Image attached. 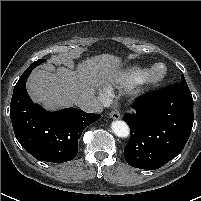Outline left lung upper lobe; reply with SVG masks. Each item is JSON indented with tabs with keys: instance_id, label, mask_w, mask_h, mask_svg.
Returning a JSON list of instances; mask_svg holds the SVG:
<instances>
[{
	"instance_id": "obj_1",
	"label": "left lung upper lobe",
	"mask_w": 201,
	"mask_h": 201,
	"mask_svg": "<svg viewBox=\"0 0 201 201\" xmlns=\"http://www.w3.org/2000/svg\"><path fill=\"white\" fill-rule=\"evenodd\" d=\"M181 83H183V84H185V83H186V80H185V78H184V75H183V74L181 75Z\"/></svg>"
}]
</instances>
